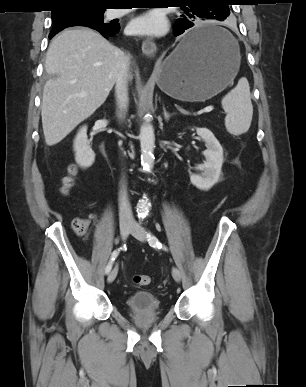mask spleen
Returning <instances> with one entry per match:
<instances>
[{
	"label": "spleen",
	"mask_w": 306,
	"mask_h": 387,
	"mask_svg": "<svg viewBox=\"0 0 306 387\" xmlns=\"http://www.w3.org/2000/svg\"><path fill=\"white\" fill-rule=\"evenodd\" d=\"M222 107L226 112L225 127L232 135H241L248 131L253 116L250 87L242 77L237 86L223 97Z\"/></svg>",
	"instance_id": "3e777b00"
}]
</instances>
